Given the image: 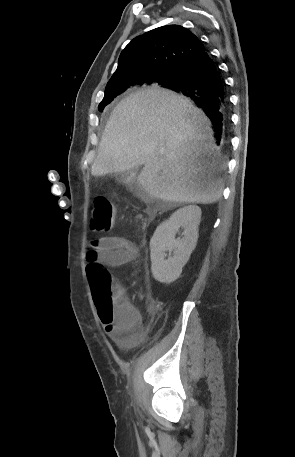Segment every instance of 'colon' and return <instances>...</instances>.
<instances>
[{
	"label": "colon",
	"instance_id": "5ec220e1",
	"mask_svg": "<svg viewBox=\"0 0 295 457\" xmlns=\"http://www.w3.org/2000/svg\"><path fill=\"white\" fill-rule=\"evenodd\" d=\"M116 208L113 202L104 196L97 197L92 206L90 226L95 232H108L115 220ZM93 299L99 318L111 321L123 310L125 294L122 287L116 285L108 270L99 262L91 261L86 266Z\"/></svg>",
	"mask_w": 295,
	"mask_h": 457
}]
</instances>
